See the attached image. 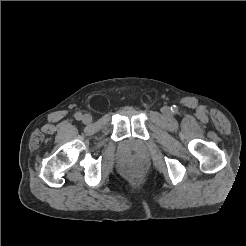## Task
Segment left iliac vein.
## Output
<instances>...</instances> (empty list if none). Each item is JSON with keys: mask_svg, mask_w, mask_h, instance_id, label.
Instances as JSON below:
<instances>
[{"mask_svg": "<svg viewBox=\"0 0 246 246\" xmlns=\"http://www.w3.org/2000/svg\"><path fill=\"white\" fill-rule=\"evenodd\" d=\"M162 113H163L164 115H170V114H171V110H170L169 107H163V108H162Z\"/></svg>", "mask_w": 246, "mask_h": 246, "instance_id": "left-iliac-vein-1", "label": "left iliac vein"}]
</instances>
